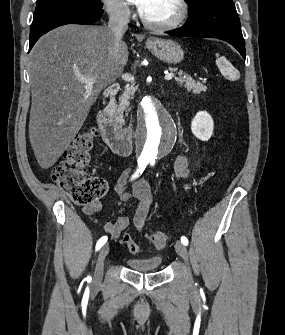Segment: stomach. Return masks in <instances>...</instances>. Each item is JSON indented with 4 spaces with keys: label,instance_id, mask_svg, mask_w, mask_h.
<instances>
[{
    "label": "stomach",
    "instance_id": "1",
    "mask_svg": "<svg viewBox=\"0 0 285 335\" xmlns=\"http://www.w3.org/2000/svg\"><path fill=\"white\" fill-rule=\"evenodd\" d=\"M146 48L156 56L158 60L166 64H180L184 58V52L173 40H162V38H149L146 42Z\"/></svg>",
    "mask_w": 285,
    "mask_h": 335
}]
</instances>
